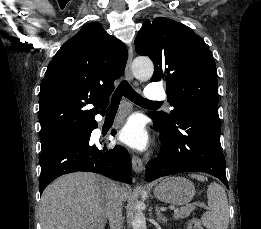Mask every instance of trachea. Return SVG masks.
<instances>
[{
  "mask_svg": "<svg viewBox=\"0 0 261 229\" xmlns=\"http://www.w3.org/2000/svg\"><path fill=\"white\" fill-rule=\"evenodd\" d=\"M122 95H124V97L134 102V104L140 106L154 103L152 100L144 99V97L139 95L126 80H123L113 95L112 103L108 108V112L117 111Z\"/></svg>",
  "mask_w": 261,
  "mask_h": 229,
  "instance_id": "1",
  "label": "trachea"
}]
</instances>
